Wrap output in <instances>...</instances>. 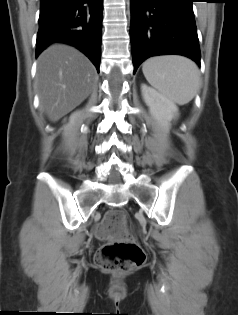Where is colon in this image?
Wrapping results in <instances>:
<instances>
[{
	"mask_svg": "<svg viewBox=\"0 0 238 315\" xmlns=\"http://www.w3.org/2000/svg\"><path fill=\"white\" fill-rule=\"evenodd\" d=\"M124 212L113 210L105 214L96 228V236L109 242L95 257L99 267L107 271L123 272L141 266L146 258L143 249L130 237Z\"/></svg>",
	"mask_w": 238,
	"mask_h": 315,
	"instance_id": "1",
	"label": "colon"
}]
</instances>
